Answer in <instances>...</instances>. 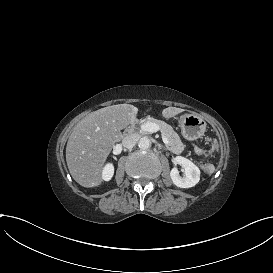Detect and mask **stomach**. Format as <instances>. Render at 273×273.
<instances>
[{"label":"stomach","mask_w":273,"mask_h":273,"mask_svg":"<svg viewBox=\"0 0 273 273\" xmlns=\"http://www.w3.org/2000/svg\"><path fill=\"white\" fill-rule=\"evenodd\" d=\"M181 135L185 140L194 141L202 137L207 129V122L200 116L189 114L182 117Z\"/></svg>","instance_id":"1"}]
</instances>
